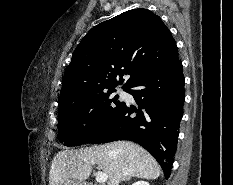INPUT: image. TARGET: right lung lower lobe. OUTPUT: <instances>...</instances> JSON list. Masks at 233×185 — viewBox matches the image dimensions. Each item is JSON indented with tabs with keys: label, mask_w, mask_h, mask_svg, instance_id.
<instances>
[{
	"label": "right lung lower lobe",
	"mask_w": 233,
	"mask_h": 185,
	"mask_svg": "<svg viewBox=\"0 0 233 185\" xmlns=\"http://www.w3.org/2000/svg\"><path fill=\"white\" fill-rule=\"evenodd\" d=\"M184 84L182 62L178 59L151 70L126 90L138 106L123 103L114 116L89 137V143L132 140L149 151L170 175L183 116Z\"/></svg>",
	"instance_id": "1"
}]
</instances>
